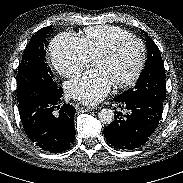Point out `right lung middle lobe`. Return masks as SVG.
<instances>
[{
    "instance_id": "right-lung-middle-lobe-1",
    "label": "right lung middle lobe",
    "mask_w": 183,
    "mask_h": 183,
    "mask_svg": "<svg viewBox=\"0 0 183 183\" xmlns=\"http://www.w3.org/2000/svg\"><path fill=\"white\" fill-rule=\"evenodd\" d=\"M52 26L35 33L25 48L17 73V100L21 101L32 93H52L58 89L53 73L46 64L44 46L46 35Z\"/></svg>"
}]
</instances>
